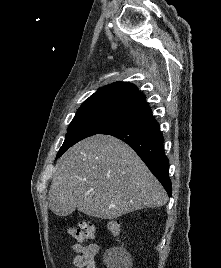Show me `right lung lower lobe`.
Segmentation results:
<instances>
[{"instance_id": "98d812e1", "label": "right lung lower lobe", "mask_w": 221, "mask_h": 268, "mask_svg": "<svg viewBox=\"0 0 221 268\" xmlns=\"http://www.w3.org/2000/svg\"><path fill=\"white\" fill-rule=\"evenodd\" d=\"M100 134L112 135L131 146L171 196L172 185L168 158L163 148L164 138L152 114L122 122Z\"/></svg>"}]
</instances>
